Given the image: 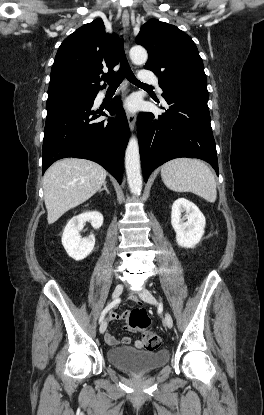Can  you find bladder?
<instances>
[{"instance_id": "31cf9c89", "label": "bladder", "mask_w": 264, "mask_h": 415, "mask_svg": "<svg viewBox=\"0 0 264 415\" xmlns=\"http://www.w3.org/2000/svg\"><path fill=\"white\" fill-rule=\"evenodd\" d=\"M106 358L117 369L141 374L164 366L169 360V351L167 349L144 350L126 346L107 350Z\"/></svg>"}]
</instances>
